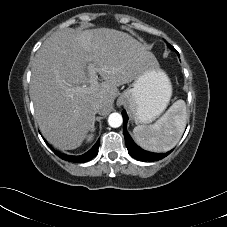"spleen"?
Returning a JSON list of instances; mask_svg holds the SVG:
<instances>
[{
    "label": "spleen",
    "instance_id": "3e777b00",
    "mask_svg": "<svg viewBox=\"0 0 227 227\" xmlns=\"http://www.w3.org/2000/svg\"><path fill=\"white\" fill-rule=\"evenodd\" d=\"M186 121L185 102L177 100L155 124L136 126L133 129L135 142L149 151L166 152L178 143Z\"/></svg>",
    "mask_w": 227,
    "mask_h": 227
}]
</instances>
